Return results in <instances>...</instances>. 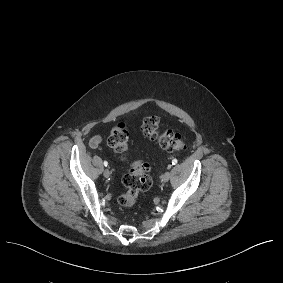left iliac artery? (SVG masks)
Returning a JSON list of instances; mask_svg holds the SVG:
<instances>
[{"instance_id":"left-iliac-artery-1","label":"left iliac artery","mask_w":283,"mask_h":283,"mask_svg":"<svg viewBox=\"0 0 283 283\" xmlns=\"http://www.w3.org/2000/svg\"><path fill=\"white\" fill-rule=\"evenodd\" d=\"M177 164V159H173L172 160V165H176Z\"/></svg>"}]
</instances>
